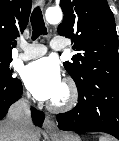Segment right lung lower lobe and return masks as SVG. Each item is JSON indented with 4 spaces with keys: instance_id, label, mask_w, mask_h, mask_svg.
<instances>
[{
    "instance_id": "right-lung-lower-lobe-1",
    "label": "right lung lower lobe",
    "mask_w": 119,
    "mask_h": 141,
    "mask_svg": "<svg viewBox=\"0 0 119 141\" xmlns=\"http://www.w3.org/2000/svg\"><path fill=\"white\" fill-rule=\"evenodd\" d=\"M22 94V85L20 80H16L8 85L0 83V119H2L11 104H13ZM32 118L36 126L41 127L44 120V113L32 108Z\"/></svg>"
}]
</instances>
